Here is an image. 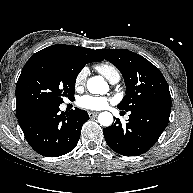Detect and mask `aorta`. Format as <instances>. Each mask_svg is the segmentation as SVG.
Instances as JSON below:
<instances>
[{
    "label": "aorta",
    "mask_w": 193,
    "mask_h": 193,
    "mask_svg": "<svg viewBox=\"0 0 193 193\" xmlns=\"http://www.w3.org/2000/svg\"><path fill=\"white\" fill-rule=\"evenodd\" d=\"M87 89L92 94H105L108 92V84L101 76H94L88 79ZM98 122L105 127L113 123V115L110 112H101L98 116Z\"/></svg>",
    "instance_id": "762f6f07"
}]
</instances>
